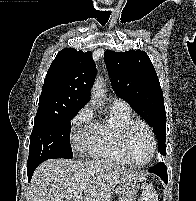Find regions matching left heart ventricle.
Listing matches in <instances>:
<instances>
[{
	"label": "left heart ventricle",
	"mask_w": 196,
	"mask_h": 201,
	"mask_svg": "<svg viewBox=\"0 0 196 201\" xmlns=\"http://www.w3.org/2000/svg\"><path fill=\"white\" fill-rule=\"evenodd\" d=\"M128 145L133 163L140 164L147 160L151 151V139L143 126L137 125L131 130Z\"/></svg>",
	"instance_id": "left-heart-ventricle-1"
}]
</instances>
